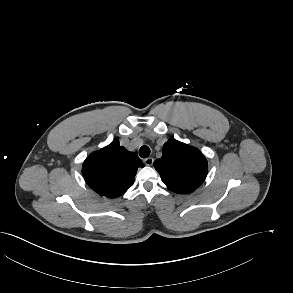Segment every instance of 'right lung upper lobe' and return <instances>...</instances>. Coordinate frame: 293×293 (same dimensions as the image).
<instances>
[{
  "mask_svg": "<svg viewBox=\"0 0 293 293\" xmlns=\"http://www.w3.org/2000/svg\"><path fill=\"white\" fill-rule=\"evenodd\" d=\"M139 167H144L140 158L115 140L90 154L83 163L82 173L96 193L116 198L133 185Z\"/></svg>",
  "mask_w": 293,
  "mask_h": 293,
  "instance_id": "cb5924a9",
  "label": "right lung upper lobe"
}]
</instances>
